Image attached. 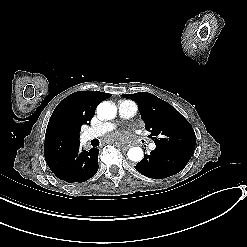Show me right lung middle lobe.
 <instances>
[{
	"mask_svg": "<svg viewBox=\"0 0 247 247\" xmlns=\"http://www.w3.org/2000/svg\"><path fill=\"white\" fill-rule=\"evenodd\" d=\"M71 144H59L57 146H55L49 153L47 156H52V155H56L59 154L60 152H63L65 150H67L69 147H71ZM46 157V156H45Z\"/></svg>",
	"mask_w": 247,
	"mask_h": 247,
	"instance_id": "right-lung-middle-lobe-1",
	"label": "right lung middle lobe"
}]
</instances>
